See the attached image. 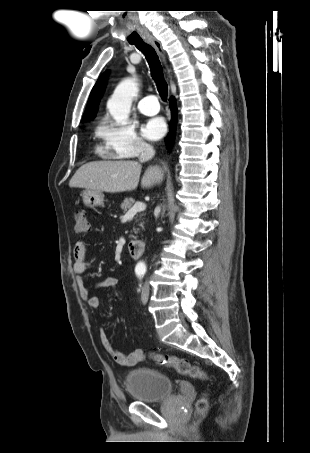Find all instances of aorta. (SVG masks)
<instances>
[{
    "mask_svg": "<svg viewBox=\"0 0 310 453\" xmlns=\"http://www.w3.org/2000/svg\"><path fill=\"white\" fill-rule=\"evenodd\" d=\"M138 93V84L134 78H127L120 82L115 88L111 98L108 100L107 108L110 115L118 123H123L129 117L133 98ZM145 264L139 262L137 268H144Z\"/></svg>",
    "mask_w": 310,
    "mask_h": 453,
    "instance_id": "762f6f07",
    "label": "aorta"
}]
</instances>
